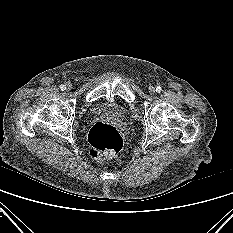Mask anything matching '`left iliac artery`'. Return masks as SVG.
Returning <instances> with one entry per match:
<instances>
[{
	"instance_id": "1",
	"label": "left iliac artery",
	"mask_w": 233,
	"mask_h": 233,
	"mask_svg": "<svg viewBox=\"0 0 233 233\" xmlns=\"http://www.w3.org/2000/svg\"><path fill=\"white\" fill-rule=\"evenodd\" d=\"M162 91V88L160 86L156 87V92L160 93Z\"/></svg>"
}]
</instances>
